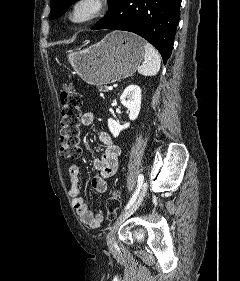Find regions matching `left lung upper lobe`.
<instances>
[{
  "instance_id": "1",
  "label": "left lung upper lobe",
  "mask_w": 240,
  "mask_h": 281,
  "mask_svg": "<svg viewBox=\"0 0 240 281\" xmlns=\"http://www.w3.org/2000/svg\"><path fill=\"white\" fill-rule=\"evenodd\" d=\"M78 0H50L51 12L49 19L58 18L63 15L69 6ZM115 0H108L110 6Z\"/></svg>"
}]
</instances>
